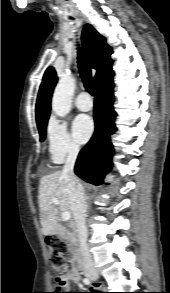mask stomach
Masks as SVG:
<instances>
[{"mask_svg": "<svg viewBox=\"0 0 170 293\" xmlns=\"http://www.w3.org/2000/svg\"><path fill=\"white\" fill-rule=\"evenodd\" d=\"M53 233H55V234H56V233H57V231H53Z\"/></svg>", "mask_w": 170, "mask_h": 293, "instance_id": "stomach-1", "label": "stomach"}]
</instances>
